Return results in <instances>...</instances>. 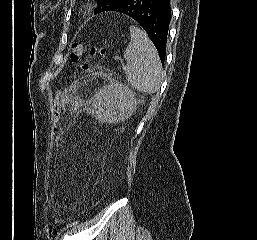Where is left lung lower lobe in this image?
<instances>
[{"label":"left lung lower lobe","mask_w":257,"mask_h":240,"mask_svg":"<svg viewBox=\"0 0 257 240\" xmlns=\"http://www.w3.org/2000/svg\"><path fill=\"white\" fill-rule=\"evenodd\" d=\"M109 11H116L139 23L156 47L162 64L171 20L170 0H122Z\"/></svg>","instance_id":"1"}]
</instances>
